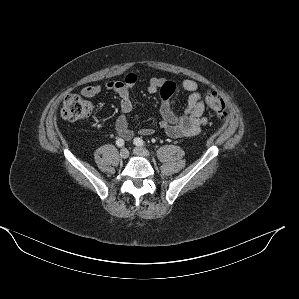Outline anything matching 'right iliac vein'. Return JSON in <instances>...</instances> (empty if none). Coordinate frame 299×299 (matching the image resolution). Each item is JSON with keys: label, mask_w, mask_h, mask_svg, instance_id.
<instances>
[{"label": "right iliac vein", "mask_w": 299, "mask_h": 299, "mask_svg": "<svg viewBox=\"0 0 299 299\" xmlns=\"http://www.w3.org/2000/svg\"><path fill=\"white\" fill-rule=\"evenodd\" d=\"M120 157L122 159H127L129 157V151L126 148L121 149Z\"/></svg>", "instance_id": "obj_1"}]
</instances>
